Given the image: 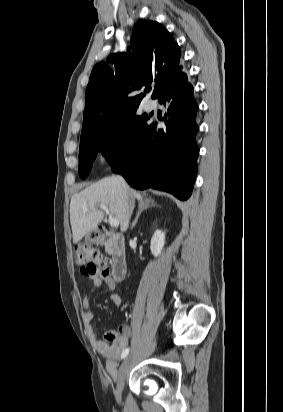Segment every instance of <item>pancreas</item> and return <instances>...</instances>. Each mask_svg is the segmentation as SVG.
Returning <instances> with one entry per match:
<instances>
[{"label": "pancreas", "instance_id": "obj_1", "mask_svg": "<svg viewBox=\"0 0 283 412\" xmlns=\"http://www.w3.org/2000/svg\"><path fill=\"white\" fill-rule=\"evenodd\" d=\"M106 252H108V248L106 247Z\"/></svg>", "mask_w": 283, "mask_h": 412}]
</instances>
